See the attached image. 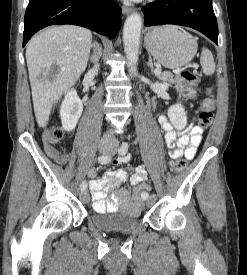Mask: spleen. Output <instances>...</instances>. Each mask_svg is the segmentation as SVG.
<instances>
[{"label":"spleen","mask_w":247,"mask_h":275,"mask_svg":"<svg viewBox=\"0 0 247 275\" xmlns=\"http://www.w3.org/2000/svg\"><path fill=\"white\" fill-rule=\"evenodd\" d=\"M200 63L205 75H212L215 71V63L212 53L207 49L203 48L201 53Z\"/></svg>","instance_id":"obj_1"}]
</instances>
